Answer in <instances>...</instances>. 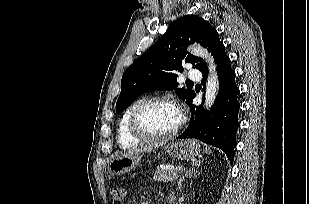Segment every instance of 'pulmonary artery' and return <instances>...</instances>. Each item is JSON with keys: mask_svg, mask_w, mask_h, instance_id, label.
<instances>
[{"mask_svg": "<svg viewBox=\"0 0 309 204\" xmlns=\"http://www.w3.org/2000/svg\"><path fill=\"white\" fill-rule=\"evenodd\" d=\"M188 78L193 81H199L201 79V72L193 69L188 72Z\"/></svg>", "mask_w": 309, "mask_h": 204, "instance_id": "obj_1", "label": "pulmonary artery"}]
</instances>
